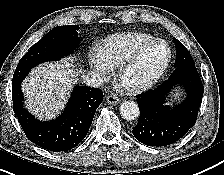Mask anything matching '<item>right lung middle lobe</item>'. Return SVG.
<instances>
[{
    "label": "right lung middle lobe",
    "instance_id": "right-lung-middle-lobe-1",
    "mask_svg": "<svg viewBox=\"0 0 224 175\" xmlns=\"http://www.w3.org/2000/svg\"><path fill=\"white\" fill-rule=\"evenodd\" d=\"M78 29L77 25L53 28L21 58L18 66L38 65L68 56L79 46Z\"/></svg>",
    "mask_w": 224,
    "mask_h": 175
}]
</instances>
